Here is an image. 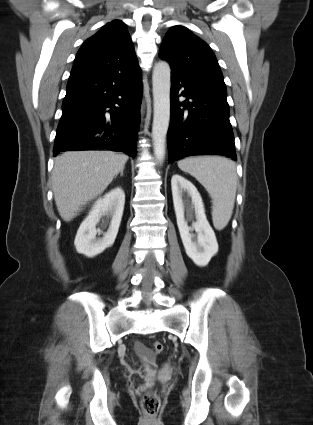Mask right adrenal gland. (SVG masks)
Returning <instances> with one entry per match:
<instances>
[{
    "mask_svg": "<svg viewBox=\"0 0 313 425\" xmlns=\"http://www.w3.org/2000/svg\"><path fill=\"white\" fill-rule=\"evenodd\" d=\"M123 171H124V168H122V169L119 171V173H118V174H120V176H121V177H123V176H124ZM118 174L115 176V178L118 176Z\"/></svg>",
    "mask_w": 313,
    "mask_h": 425,
    "instance_id": "2a0ac1e0",
    "label": "right adrenal gland"
}]
</instances>
